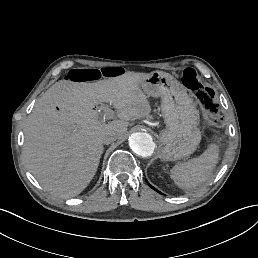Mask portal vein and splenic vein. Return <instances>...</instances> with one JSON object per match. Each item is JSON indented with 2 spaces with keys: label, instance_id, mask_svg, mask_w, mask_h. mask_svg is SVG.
I'll return each mask as SVG.
<instances>
[{
  "label": "portal vein and splenic vein",
  "instance_id": "portal-vein-and-splenic-vein-1",
  "mask_svg": "<svg viewBox=\"0 0 258 258\" xmlns=\"http://www.w3.org/2000/svg\"><path fill=\"white\" fill-rule=\"evenodd\" d=\"M104 112H105L104 113L105 116H109L110 117L112 110L108 108V109H105Z\"/></svg>",
  "mask_w": 258,
  "mask_h": 258
}]
</instances>
